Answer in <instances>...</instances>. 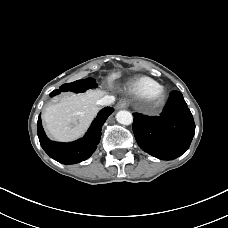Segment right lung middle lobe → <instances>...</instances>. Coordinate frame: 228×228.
Wrapping results in <instances>:
<instances>
[{
	"instance_id": "right-lung-middle-lobe-1",
	"label": "right lung middle lobe",
	"mask_w": 228,
	"mask_h": 228,
	"mask_svg": "<svg viewBox=\"0 0 228 228\" xmlns=\"http://www.w3.org/2000/svg\"><path fill=\"white\" fill-rule=\"evenodd\" d=\"M96 82L93 78H87L84 80H77L72 83L63 84L59 91H72V92H84L87 89L96 87Z\"/></svg>"
}]
</instances>
